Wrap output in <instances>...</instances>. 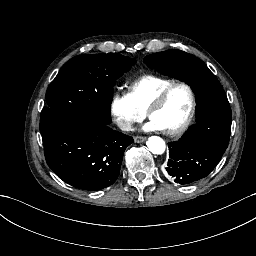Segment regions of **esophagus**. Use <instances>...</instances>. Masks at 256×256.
I'll return each instance as SVG.
<instances>
[{
    "mask_svg": "<svg viewBox=\"0 0 256 256\" xmlns=\"http://www.w3.org/2000/svg\"><path fill=\"white\" fill-rule=\"evenodd\" d=\"M146 137H144V136H136V137H134V141L136 142V143H142V142H144V141H146Z\"/></svg>",
    "mask_w": 256,
    "mask_h": 256,
    "instance_id": "1",
    "label": "esophagus"
}]
</instances>
